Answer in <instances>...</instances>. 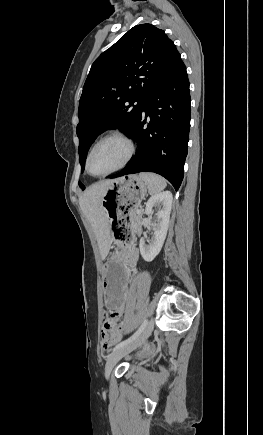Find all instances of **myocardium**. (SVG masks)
Here are the masks:
<instances>
[{
	"instance_id": "myocardium-1",
	"label": "myocardium",
	"mask_w": 263,
	"mask_h": 435,
	"mask_svg": "<svg viewBox=\"0 0 263 435\" xmlns=\"http://www.w3.org/2000/svg\"><path fill=\"white\" fill-rule=\"evenodd\" d=\"M109 139H116L121 141L127 148V155L124 159V161L116 168L112 169L111 171H108L106 173L103 174H94L91 172L90 170V166H89V162H90V157L94 151V149L103 141L109 140ZM135 144L133 142V140L131 138H129L128 136H126L125 134H122L120 132H111V133H107L105 135H103L102 137H100L90 148L87 157H86V162H85V167H86V171L89 175L93 176V177H106L109 176L111 174H114L120 170H122L123 168H125L129 162L132 160L134 154H135Z\"/></svg>"
}]
</instances>
